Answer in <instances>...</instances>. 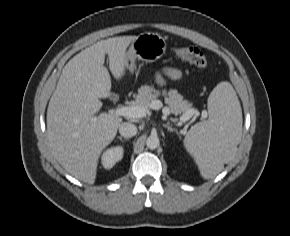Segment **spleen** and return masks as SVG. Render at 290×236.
<instances>
[{
  "label": "spleen",
  "mask_w": 290,
  "mask_h": 236,
  "mask_svg": "<svg viewBox=\"0 0 290 236\" xmlns=\"http://www.w3.org/2000/svg\"><path fill=\"white\" fill-rule=\"evenodd\" d=\"M209 118L190 128L184 146L204 179L214 178L231 161L242 136V109L229 82H220L208 98Z\"/></svg>",
  "instance_id": "1"
}]
</instances>
